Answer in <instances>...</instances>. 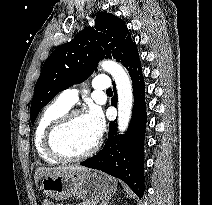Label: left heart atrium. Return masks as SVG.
I'll list each match as a JSON object with an SVG mask.
<instances>
[{"mask_svg": "<svg viewBox=\"0 0 212 205\" xmlns=\"http://www.w3.org/2000/svg\"><path fill=\"white\" fill-rule=\"evenodd\" d=\"M84 119L95 137L99 138L105 126L101 112L96 108H92L84 115Z\"/></svg>", "mask_w": 212, "mask_h": 205, "instance_id": "left-heart-atrium-1", "label": "left heart atrium"}]
</instances>
